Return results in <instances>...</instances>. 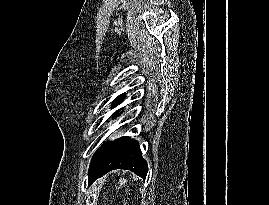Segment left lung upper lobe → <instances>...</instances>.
<instances>
[{
  "label": "left lung upper lobe",
  "mask_w": 269,
  "mask_h": 205,
  "mask_svg": "<svg viewBox=\"0 0 269 205\" xmlns=\"http://www.w3.org/2000/svg\"><path fill=\"white\" fill-rule=\"evenodd\" d=\"M125 98V94L119 95L113 102V107H115L117 104L123 101Z\"/></svg>",
  "instance_id": "1"
}]
</instances>
